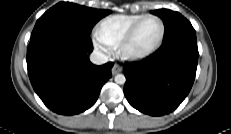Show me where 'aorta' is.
Segmentation results:
<instances>
[{"instance_id":"obj_1","label":"aorta","mask_w":231,"mask_h":134,"mask_svg":"<svg viewBox=\"0 0 231 134\" xmlns=\"http://www.w3.org/2000/svg\"><path fill=\"white\" fill-rule=\"evenodd\" d=\"M114 80L117 84H124L126 82V78L123 74H117Z\"/></svg>"}]
</instances>
